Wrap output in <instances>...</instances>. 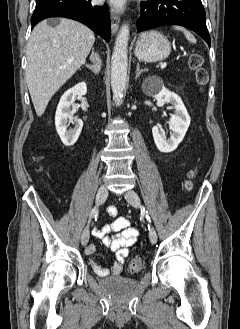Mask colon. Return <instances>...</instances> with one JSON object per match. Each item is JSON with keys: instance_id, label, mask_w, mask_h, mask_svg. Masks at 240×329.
Masks as SVG:
<instances>
[{"instance_id": "1", "label": "colon", "mask_w": 240, "mask_h": 329, "mask_svg": "<svg viewBox=\"0 0 240 329\" xmlns=\"http://www.w3.org/2000/svg\"><path fill=\"white\" fill-rule=\"evenodd\" d=\"M201 63H202L201 57L198 54L192 53L189 56V66L194 71L196 82L200 86L204 85L208 80V74L206 70L202 68ZM194 175H195L194 171H190L188 173V178H189L187 181L188 188L191 187L190 180L194 177ZM142 265H143V257L136 256L130 261L128 265V271L131 273L138 272L141 269Z\"/></svg>"}]
</instances>
